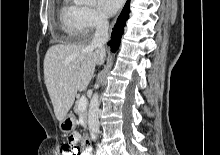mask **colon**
Instances as JSON below:
<instances>
[{
    "instance_id": "5ec220e1",
    "label": "colon",
    "mask_w": 220,
    "mask_h": 155,
    "mask_svg": "<svg viewBox=\"0 0 220 155\" xmlns=\"http://www.w3.org/2000/svg\"><path fill=\"white\" fill-rule=\"evenodd\" d=\"M79 144H65L62 147V155H81V147Z\"/></svg>"
}]
</instances>
